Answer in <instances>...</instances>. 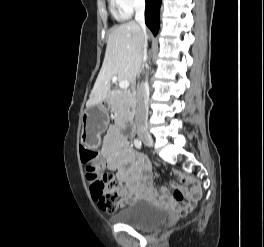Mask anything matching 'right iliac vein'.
Segmentation results:
<instances>
[{"instance_id": "1", "label": "right iliac vein", "mask_w": 264, "mask_h": 247, "mask_svg": "<svg viewBox=\"0 0 264 247\" xmlns=\"http://www.w3.org/2000/svg\"><path fill=\"white\" fill-rule=\"evenodd\" d=\"M139 138L142 140V142L147 145V146H152L153 145V139L150 133L146 130H140L138 132Z\"/></svg>"}]
</instances>
